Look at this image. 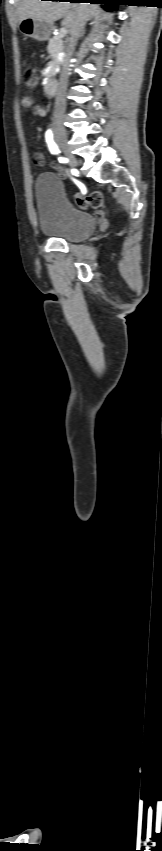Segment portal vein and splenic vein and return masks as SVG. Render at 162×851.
Segmentation results:
<instances>
[{"label":"portal vein and splenic vein","instance_id":"portal-vein-and-splenic-vein-1","mask_svg":"<svg viewBox=\"0 0 162 851\" xmlns=\"http://www.w3.org/2000/svg\"><path fill=\"white\" fill-rule=\"evenodd\" d=\"M60 33H61V36H65L67 34L66 27H62L61 30H60Z\"/></svg>","mask_w":162,"mask_h":851}]
</instances>
